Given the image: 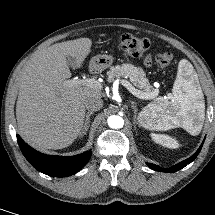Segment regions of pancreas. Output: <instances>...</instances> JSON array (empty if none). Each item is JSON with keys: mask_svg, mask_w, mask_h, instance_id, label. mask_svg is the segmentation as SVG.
Wrapping results in <instances>:
<instances>
[{"mask_svg": "<svg viewBox=\"0 0 215 215\" xmlns=\"http://www.w3.org/2000/svg\"><path fill=\"white\" fill-rule=\"evenodd\" d=\"M107 75L108 82H113L116 78L121 76H127L139 89H142L143 92L155 94L158 93V91L154 90V88L149 83L144 71L139 67L133 66L132 64L113 66L110 68Z\"/></svg>", "mask_w": 215, "mask_h": 215, "instance_id": "cf45deb5", "label": "pancreas"}]
</instances>
